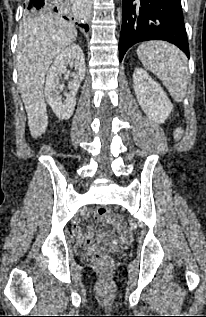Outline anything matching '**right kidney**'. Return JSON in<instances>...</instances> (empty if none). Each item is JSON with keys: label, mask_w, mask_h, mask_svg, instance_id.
Wrapping results in <instances>:
<instances>
[{"label": "right kidney", "mask_w": 206, "mask_h": 317, "mask_svg": "<svg viewBox=\"0 0 206 317\" xmlns=\"http://www.w3.org/2000/svg\"><path fill=\"white\" fill-rule=\"evenodd\" d=\"M75 66L73 73L74 80L68 83L69 92L65 94L66 99H62L60 90L63 84L60 82L62 74L69 75L68 65ZM85 77V57L81 47L72 44L65 48L54 60L46 78L45 98L51 106L53 112L60 119L66 120L73 114L76 105V93L80 83Z\"/></svg>", "instance_id": "obj_1"}]
</instances>
